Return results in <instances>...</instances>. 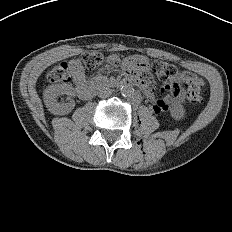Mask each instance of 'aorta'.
<instances>
[{
    "label": "aorta",
    "instance_id": "762f6f07",
    "mask_svg": "<svg viewBox=\"0 0 232 232\" xmlns=\"http://www.w3.org/2000/svg\"><path fill=\"white\" fill-rule=\"evenodd\" d=\"M134 92H135V89L130 84H125L120 89V93L124 97H130V96H132L134 94Z\"/></svg>",
    "mask_w": 232,
    "mask_h": 232
}]
</instances>
